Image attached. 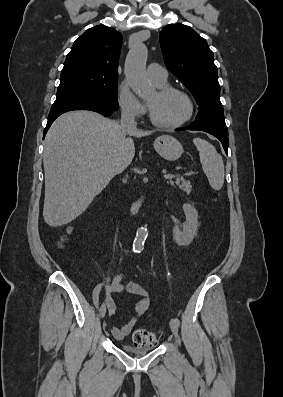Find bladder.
<instances>
[{
	"instance_id": "bladder-1",
	"label": "bladder",
	"mask_w": 283,
	"mask_h": 397,
	"mask_svg": "<svg viewBox=\"0 0 283 397\" xmlns=\"http://www.w3.org/2000/svg\"><path fill=\"white\" fill-rule=\"evenodd\" d=\"M156 347V343L151 344L150 346L147 347H133L131 345L124 344L121 346L122 350L126 353L132 354V355H145L152 350H154Z\"/></svg>"
}]
</instances>
